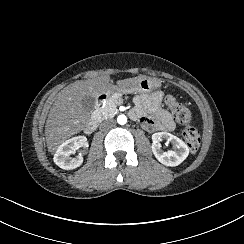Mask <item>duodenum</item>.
Listing matches in <instances>:
<instances>
[{
    "label": "duodenum",
    "instance_id": "duodenum-1",
    "mask_svg": "<svg viewBox=\"0 0 244 244\" xmlns=\"http://www.w3.org/2000/svg\"><path fill=\"white\" fill-rule=\"evenodd\" d=\"M98 98H99V99L96 100L94 104H95L96 107L100 108V107L103 106V104H104L103 101H105L107 97H106L105 94L102 93V94L99 95ZM96 124H97L96 119H95V118H92V119L86 124V126H85V128H84L85 133H86V134H90V133L94 130V128L96 127Z\"/></svg>",
    "mask_w": 244,
    "mask_h": 244
}]
</instances>
